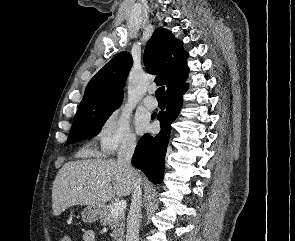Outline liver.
I'll list each match as a JSON object with an SVG mask.
<instances>
[{"label":"liver","mask_w":295,"mask_h":241,"mask_svg":"<svg viewBox=\"0 0 295 241\" xmlns=\"http://www.w3.org/2000/svg\"><path fill=\"white\" fill-rule=\"evenodd\" d=\"M136 174L141 183L142 176ZM132 191V177L115 159L67 162L53 182V215L74 205H104L115 195L128 196Z\"/></svg>","instance_id":"6515ba94"}]
</instances>
